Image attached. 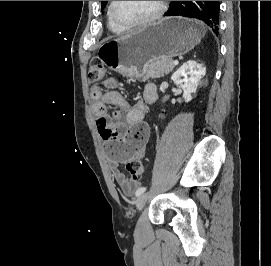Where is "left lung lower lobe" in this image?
<instances>
[{"instance_id": "obj_1", "label": "left lung lower lobe", "mask_w": 271, "mask_h": 266, "mask_svg": "<svg viewBox=\"0 0 271 266\" xmlns=\"http://www.w3.org/2000/svg\"><path fill=\"white\" fill-rule=\"evenodd\" d=\"M172 1L164 16L196 18L207 24L214 33L219 29V1Z\"/></svg>"}]
</instances>
